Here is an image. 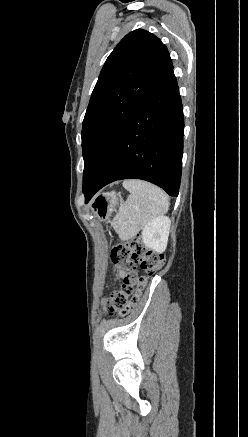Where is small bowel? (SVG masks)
Returning <instances> with one entry per match:
<instances>
[{"instance_id":"small-bowel-1","label":"small bowel","mask_w":248,"mask_h":437,"mask_svg":"<svg viewBox=\"0 0 248 437\" xmlns=\"http://www.w3.org/2000/svg\"><path fill=\"white\" fill-rule=\"evenodd\" d=\"M121 274H122V271H119V272H118V275H121Z\"/></svg>"}]
</instances>
